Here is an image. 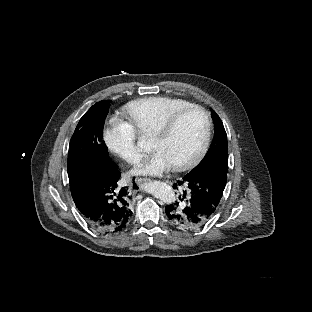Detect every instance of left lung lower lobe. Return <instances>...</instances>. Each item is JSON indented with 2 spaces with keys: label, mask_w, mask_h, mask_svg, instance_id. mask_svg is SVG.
I'll use <instances>...</instances> for the list:
<instances>
[{
  "label": "left lung lower lobe",
  "mask_w": 312,
  "mask_h": 312,
  "mask_svg": "<svg viewBox=\"0 0 312 312\" xmlns=\"http://www.w3.org/2000/svg\"><path fill=\"white\" fill-rule=\"evenodd\" d=\"M227 181V172L216 169L208 170L197 176L183 177L174 185H183L181 201L173 205L166 206L165 212L169 221L175 226L191 229L204 226L217 212L220 199Z\"/></svg>",
  "instance_id": "left-lung-lower-lobe-1"
}]
</instances>
